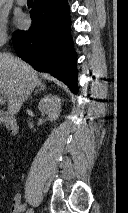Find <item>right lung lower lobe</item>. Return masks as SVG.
Returning a JSON list of instances; mask_svg holds the SVG:
<instances>
[{"mask_svg": "<svg viewBox=\"0 0 128 213\" xmlns=\"http://www.w3.org/2000/svg\"><path fill=\"white\" fill-rule=\"evenodd\" d=\"M28 31H17L12 41L19 57L39 71L52 73L73 93L78 92L76 52L70 34L67 0H34Z\"/></svg>", "mask_w": 128, "mask_h": 213, "instance_id": "1", "label": "right lung lower lobe"}]
</instances>
